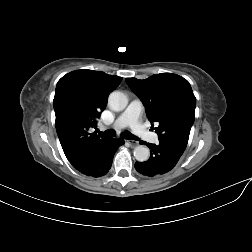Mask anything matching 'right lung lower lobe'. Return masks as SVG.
<instances>
[{"mask_svg":"<svg viewBox=\"0 0 252 252\" xmlns=\"http://www.w3.org/2000/svg\"><path fill=\"white\" fill-rule=\"evenodd\" d=\"M123 144V139L108 138L100 146L86 153L73 167L87 176H103L111 168L116 150Z\"/></svg>","mask_w":252,"mask_h":252,"instance_id":"obj_1","label":"right lung lower lobe"}]
</instances>
